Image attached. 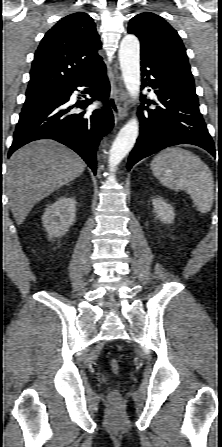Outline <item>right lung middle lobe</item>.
<instances>
[{
    "instance_id": "right-lung-middle-lobe-1",
    "label": "right lung middle lobe",
    "mask_w": 222,
    "mask_h": 447,
    "mask_svg": "<svg viewBox=\"0 0 222 447\" xmlns=\"http://www.w3.org/2000/svg\"><path fill=\"white\" fill-rule=\"evenodd\" d=\"M57 95L53 96H44V97H29L26 98V101L24 103V107L22 110L31 109L34 107H37L39 105L45 104L53 99L56 98Z\"/></svg>"
}]
</instances>
